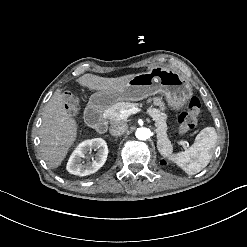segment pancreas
I'll list each match as a JSON object with an SVG mask.
<instances>
[{
	"label": "pancreas",
	"instance_id": "1",
	"mask_svg": "<svg viewBox=\"0 0 247 247\" xmlns=\"http://www.w3.org/2000/svg\"><path fill=\"white\" fill-rule=\"evenodd\" d=\"M139 103L131 102H118L111 107L104 110V118L108 119L110 122H115L120 120V111L124 109H130L132 107H139ZM149 115L155 121L156 133H157V148L164 154L169 155L172 153L173 147L170 140L167 137V115L163 113L160 109L149 108Z\"/></svg>",
	"mask_w": 247,
	"mask_h": 247
}]
</instances>
